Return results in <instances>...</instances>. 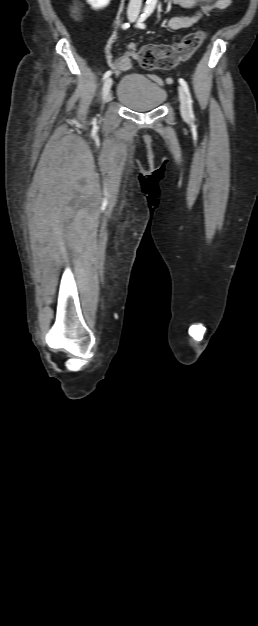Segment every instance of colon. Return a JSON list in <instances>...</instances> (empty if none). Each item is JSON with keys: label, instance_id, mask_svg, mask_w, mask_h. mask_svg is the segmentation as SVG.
Masks as SVG:
<instances>
[{"label": "colon", "instance_id": "5ec220e1", "mask_svg": "<svg viewBox=\"0 0 258 626\" xmlns=\"http://www.w3.org/2000/svg\"><path fill=\"white\" fill-rule=\"evenodd\" d=\"M203 39L204 33L198 31L187 35L175 45H146L137 50L135 44L131 43L128 50L137 56L143 68L166 70L178 62L188 60L199 49Z\"/></svg>", "mask_w": 258, "mask_h": 626}]
</instances>
